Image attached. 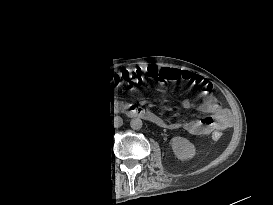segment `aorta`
I'll return each mask as SVG.
<instances>
[{
  "mask_svg": "<svg viewBox=\"0 0 273 205\" xmlns=\"http://www.w3.org/2000/svg\"><path fill=\"white\" fill-rule=\"evenodd\" d=\"M142 120L140 118H133L131 121H130V126L132 129L134 130H140L142 128Z\"/></svg>",
  "mask_w": 273,
  "mask_h": 205,
  "instance_id": "obj_1",
  "label": "aorta"
}]
</instances>
